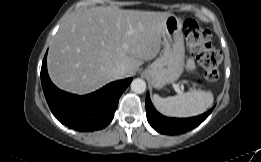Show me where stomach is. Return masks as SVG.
Wrapping results in <instances>:
<instances>
[{
	"mask_svg": "<svg viewBox=\"0 0 261 162\" xmlns=\"http://www.w3.org/2000/svg\"><path fill=\"white\" fill-rule=\"evenodd\" d=\"M162 44L160 56L145 70L150 83L157 89L178 80L184 70L182 20L173 14L165 21Z\"/></svg>",
	"mask_w": 261,
	"mask_h": 162,
	"instance_id": "1",
	"label": "stomach"
}]
</instances>
